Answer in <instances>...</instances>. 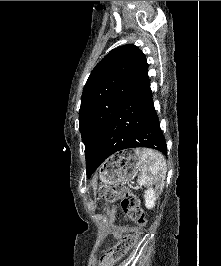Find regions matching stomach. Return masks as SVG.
Segmentation results:
<instances>
[{"label": "stomach", "mask_w": 221, "mask_h": 266, "mask_svg": "<svg viewBox=\"0 0 221 266\" xmlns=\"http://www.w3.org/2000/svg\"><path fill=\"white\" fill-rule=\"evenodd\" d=\"M141 166L142 163L136 153L132 150H124L103 163L99 170V177L107 185L127 183L137 175Z\"/></svg>", "instance_id": "1"}]
</instances>
